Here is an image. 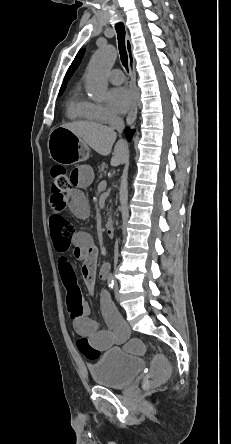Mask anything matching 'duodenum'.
<instances>
[{
  "mask_svg": "<svg viewBox=\"0 0 231 444\" xmlns=\"http://www.w3.org/2000/svg\"><path fill=\"white\" fill-rule=\"evenodd\" d=\"M105 231L108 237H114L115 235V221L113 219H110L107 221L106 225H105ZM107 276L106 272H102L101 273V278L105 279Z\"/></svg>",
  "mask_w": 231,
  "mask_h": 444,
  "instance_id": "1",
  "label": "duodenum"
}]
</instances>
